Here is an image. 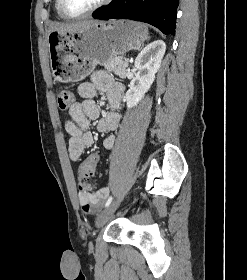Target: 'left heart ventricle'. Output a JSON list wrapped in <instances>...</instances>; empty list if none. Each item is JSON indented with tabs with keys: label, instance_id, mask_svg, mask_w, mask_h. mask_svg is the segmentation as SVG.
<instances>
[{
	"label": "left heart ventricle",
	"instance_id": "obj_1",
	"mask_svg": "<svg viewBox=\"0 0 247 280\" xmlns=\"http://www.w3.org/2000/svg\"><path fill=\"white\" fill-rule=\"evenodd\" d=\"M100 0H65L66 8L70 13L78 14L88 10Z\"/></svg>",
	"mask_w": 247,
	"mask_h": 280
}]
</instances>
